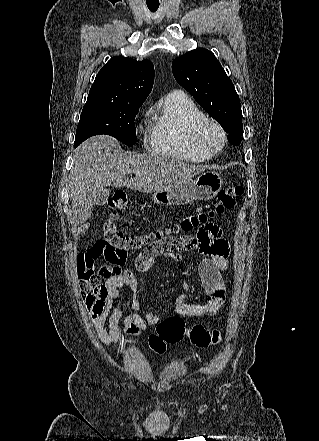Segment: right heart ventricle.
Listing matches in <instances>:
<instances>
[{"mask_svg":"<svg viewBox=\"0 0 319 441\" xmlns=\"http://www.w3.org/2000/svg\"><path fill=\"white\" fill-rule=\"evenodd\" d=\"M205 119V113L187 96L168 95L150 125L151 151L188 162L209 160L213 154L198 148L193 141L196 125Z\"/></svg>","mask_w":319,"mask_h":441,"instance_id":"1","label":"right heart ventricle"}]
</instances>
